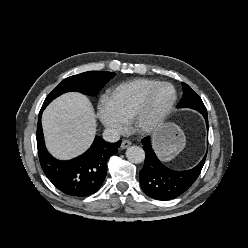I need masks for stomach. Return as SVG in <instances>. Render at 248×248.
<instances>
[{
	"instance_id": "0dacf381",
	"label": "stomach",
	"mask_w": 248,
	"mask_h": 248,
	"mask_svg": "<svg viewBox=\"0 0 248 248\" xmlns=\"http://www.w3.org/2000/svg\"><path fill=\"white\" fill-rule=\"evenodd\" d=\"M183 131L173 123H167L153 134L154 149L162 161H170L185 147Z\"/></svg>"
}]
</instances>
